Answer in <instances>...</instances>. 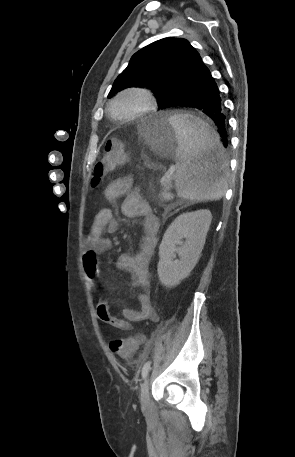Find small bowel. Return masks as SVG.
I'll use <instances>...</instances> for the list:
<instances>
[{"label": "small bowel", "mask_w": 295, "mask_h": 457, "mask_svg": "<svg viewBox=\"0 0 295 457\" xmlns=\"http://www.w3.org/2000/svg\"><path fill=\"white\" fill-rule=\"evenodd\" d=\"M106 198L114 202L124 197L121 205L122 212L127 217H141L143 237L140 250L131 256L124 254L117 268L131 274L134 287L139 291L137 300L139 308H122L120 315L111 312L108 302H101L97 307L98 319L106 325L120 330H131L134 323L142 321H157L158 314L152 306L150 297V262L157 246L159 223L150 210L149 205L141 198L134 188L131 177L118 178L106 187ZM117 221L109 208H102L95 215L89 233L85 236V251L82 264L85 278L91 289L102 292L104 287L99 274L98 256L111 248L112 241L108 235L117 230Z\"/></svg>", "instance_id": "1"}]
</instances>
